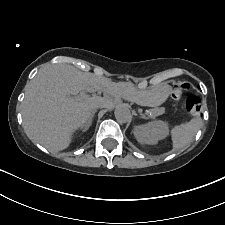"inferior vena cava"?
Segmentation results:
<instances>
[{"instance_id":"obj_1","label":"inferior vena cava","mask_w":225,"mask_h":225,"mask_svg":"<svg viewBox=\"0 0 225 225\" xmlns=\"http://www.w3.org/2000/svg\"><path fill=\"white\" fill-rule=\"evenodd\" d=\"M104 107H105L104 104L99 103V104L94 105L93 108H92V110H95L96 108H104Z\"/></svg>"}]
</instances>
